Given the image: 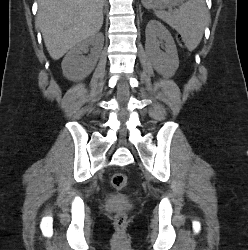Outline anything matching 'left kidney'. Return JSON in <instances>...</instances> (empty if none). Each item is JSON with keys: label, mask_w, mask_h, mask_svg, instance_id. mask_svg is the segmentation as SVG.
<instances>
[{"label": "left kidney", "mask_w": 248, "mask_h": 250, "mask_svg": "<svg viewBox=\"0 0 248 250\" xmlns=\"http://www.w3.org/2000/svg\"><path fill=\"white\" fill-rule=\"evenodd\" d=\"M145 34V48L154 69L165 77H172L179 67V58L170 32L160 22L150 20L146 26ZM157 38L165 42V52L160 50Z\"/></svg>", "instance_id": "obj_1"}]
</instances>
